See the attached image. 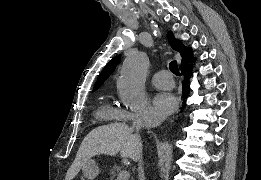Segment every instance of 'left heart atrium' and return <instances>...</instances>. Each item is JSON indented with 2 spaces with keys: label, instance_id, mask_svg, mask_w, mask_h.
I'll use <instances>...</instances> for the list:
<instances>
[{
  "label": "left heart atrium",
  "instance_id": "39dd6f15",
  "mask_svg": "<svg viewBox=\"0 0 261 180\" xmlns=\"http://www.w3.org/2000/svg\"><path fill=\"white\" fill-rule=\"evenodd\" d=\"M177 105L174 95L167 91L157 92L153 97L151 109L159 114L166 115L171 113Z\"/></svg>",
  "mask_w": 261,
  "mask_h": 180
}]
</instances>
